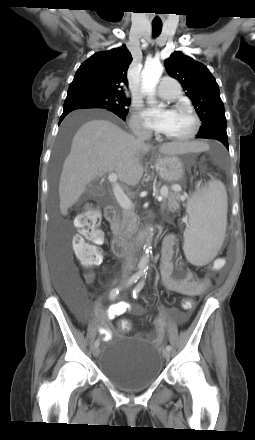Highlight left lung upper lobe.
<instances>
[{
	"mask_svg": "<svg viewBox=\"0 0 255 440\" xmlns=\"http://www.w3.org/2000/svg\"><path fill=\"white\" fill-rule=\"evenodd\" d=\"M164 63L169 75L181 83L201 118L197 137L228 138L219 86L208 68L179 51L172 53Z\"/></svg>",
	"mask_w": 255,
	"mask_h": 440,
	"instance_id": "obj_1",
	"label": "left lung upper lobe"
}]
</instances>
